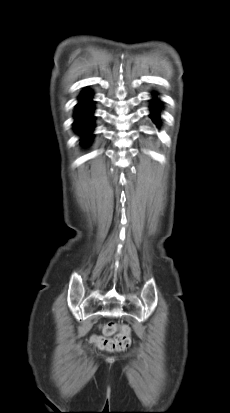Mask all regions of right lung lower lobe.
I'll use <instances>...</instances> for the list:
<instances>
[{"label":"right lung lower lobe","instance_id":"1","mask_svg":"<svg viewBox=\"0 0 230 413\" xmlns=\"http://www.w3.org/2000/svg\"><path fill=\"white\" fill-rule=\"evenodd\" d=\"M92 98V92L90 90H84L79 96V103L76 106L74 114V129L77 133L82 135V142L87 145L92 139L91 132L94 128V105Z\"/></svg>","mask_w":230,"mask_h":413}]
</instances>
